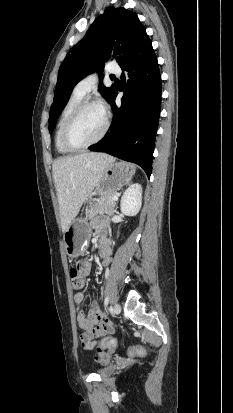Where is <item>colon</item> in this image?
<instances>
[{"label": "colon", "mask_w": 233, "mask_h": 413, "mask_svg": "<svg viewBox=\"0 0 233 413\" xmlns=\"http://www.w3.org/2000/svg\"><path fill=\"white\" fill-rule=\"evenodd\" d=\"M70 277H71L72 287L74 290H81L85 286L84 276L81 274L79 269H76L75 267H73L70 270ZM111 341L112 339L110 338L103 339L100 345L97 347V349L101 350L103 348L108 347ZM127 353L131 357L142 355L144 353V347L141 345L137 347H130L128 348Z\"/></svg>", "instance_id": "5ec220e1"}]
</instances>
